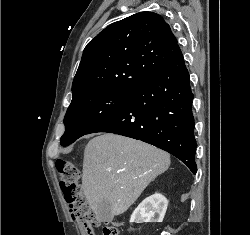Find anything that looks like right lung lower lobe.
Listing matches in <instances>:
<instances>
[{
	"instance_id": "right-lung-lower-lobe-1",
	"label": "right lung lower lobe",
	"mask_w": 250,
	"mask_h": 235,
	"mask_svg": "<svg viewBox=\"0 0 250 235\" xmlns=\"http://www.w3.org/2000/svg\"><path fill=\"white\" fill-rule=\"evenodd\" d=\"M192 100L178 46L164 70L135 89L119 110L88 134L109 132L144 141L171 153L196 173Z\"/></svg>"
}]
</instances>
